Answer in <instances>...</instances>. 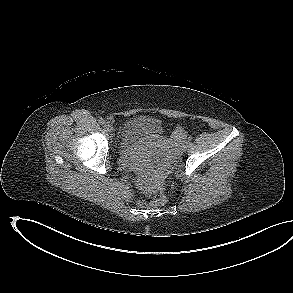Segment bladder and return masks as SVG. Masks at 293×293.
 Listing matches in <instances>:
<instances>
[{
	"label": "bladder",
	"instance_id": "bladder-1",
	"mask_svg": "<svg viewBox=\"0 0 293 293\" xmlns=\"http://www.w3.org/2000/svg\"><path fill=\"white\" fill-rule=\"evenodd\" d=\"M161 135L162 124L158 119L144 115L131 117L124 123L120 131L117 154L124 156L143 140L159 138Z\"/></svg>",
	"mask_w": 293,
	"mask_h": 293
}]
</instances>
